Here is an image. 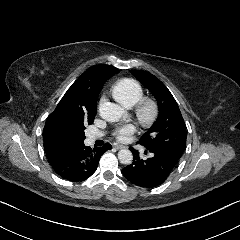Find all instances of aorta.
Instances as JSON below:
<instances>
[{"mask_svg":"<svg viewBox=\"0 0 240 240\" xmlns=\"http://www.w3.org/2000/svg\"><path fill=\"white\" fill-rule=\"evenodd\" d=\"M100 117L107 122H117L123 115L124 110L118 104L112 102L101 103L98 107ZM118 159L123 164H130L133 159L132 152L129 149H120Z\"/></svg>","mask_w":240,"mask_h":240,"instance_id":"obj_1","label":"aorta"}]
</instances>
